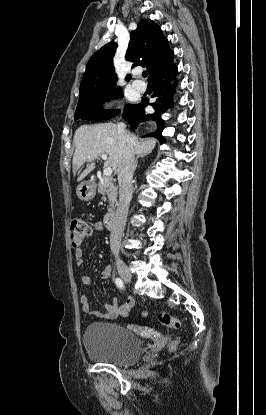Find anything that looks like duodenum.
I'll list each match as a JSON object with an SVG mask.
<instances>
[{"label": "duodenum", "instance_id": "1", "mask_svg": "<svg viewBox=\"0 0 266 415\" xmlns=\"http://www.w3.org/2000/svg\"><path fill=\"white\" fill-rule=\"evenodd\" d=\"M116 224V215L115 213H108L105 215L103 220V225L106 229L111 230L115 227Z\"/></svg>", "mask_w": 266, "mask_h": 415}]
</instances>
